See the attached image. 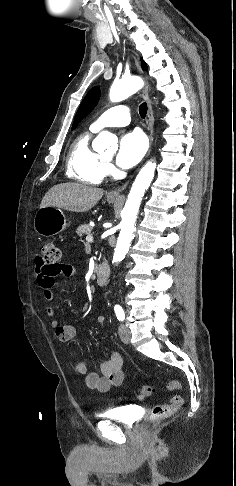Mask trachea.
I'll list each match as a JSON object with an SVG mask.
<instances>
[{"label": "trachea", "mask_w": 236, "mask_h": 486, "mask_svg": "<svg viewBox=\"0 0 236 486\" xmlns=\"http://www.w3.org/2000/svg\"><path fill=\"white\" fill-rule=\"evenodd\" d=\"M147 104L146 102L142 103L139 107V114L142 118H145L146 114H147Z\"/></svg>", "instance_id": "3493384b"}]
</instances>
